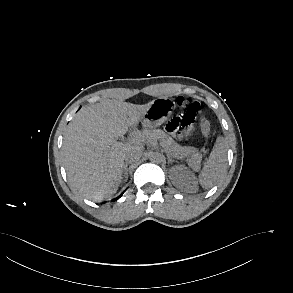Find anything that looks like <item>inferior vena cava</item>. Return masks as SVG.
I'll use <instances>...</instances> for the list:
<instances>
[{"mask_svg":"<svg viewBox=\"0 0 293 293\" xmlns=\"http://www.w3.org/2000/svg\"><path fill=\"white\" fill-rule=\"evenodd\" d=\"M142 156V151L136 149V148H132L129 149L124 156V159L126 162L128 163H133L135 161H138Z\"/></svg>","mask_w":293,"mask_h":293,"instance_id":"602c4592","label":"inferior vena cava"}]
</instances>
